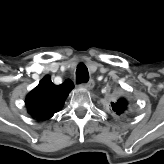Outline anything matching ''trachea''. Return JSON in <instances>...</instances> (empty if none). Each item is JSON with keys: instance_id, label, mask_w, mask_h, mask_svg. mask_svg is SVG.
<instances>
[{"instance_id": "obj_1", "label": "trachea", "mask_w": 164, "mask_h": 164, "mask_svg": "<svg viewBox=\"0 0 164 164\" xmlns=\"http://www.w3.org/2000/svg\"><path fill=\"white\" fill-rule=\"evenodd\" d=\"M88 80H89L88 69L83 63H80L77 66V70H76V83L77 84L86 83L88 82Z\"/></svg>"}]
</instances>
